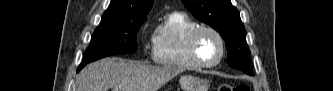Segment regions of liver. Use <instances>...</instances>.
Listing matches in <instances>:
<instances>
[{
	"mask_svg": "<svg viewBox=\"0 0 333 91\" xmlns=\"http://www.w3.org/2000/svg\"><path fill=\"white\" fill-rule=\"evenodd\" d=\"M179 72L173 67L108 57L87 65L76 83L78 91H158Z\"/></svg>",
	"mask_w": 333,
	"mask_h": 91,
	"instance_id": "liver-1",
	"label": "liver"
}]
</instances>
